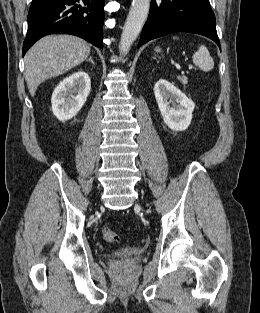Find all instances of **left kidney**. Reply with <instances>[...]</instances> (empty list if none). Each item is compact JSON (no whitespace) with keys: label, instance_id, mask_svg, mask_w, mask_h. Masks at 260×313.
<instances>
[{"label":"left kidney","instance_id":"1","mask_svg":"<svg viewBox=\"0 0 260 313\" xmlns=\"http://www.w3.org/2000/svg\"><path fill=\"white\" fill-rule=\"evenodd\" d=\"M154 94L164 123L173 131L186 130L191 123L195 103L165 79L156 82Z\"/></svg>","mask_w":260,"mask_h":313}]
</instances>
